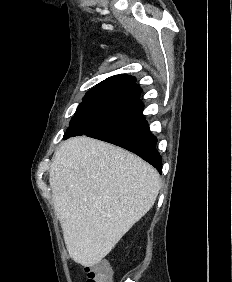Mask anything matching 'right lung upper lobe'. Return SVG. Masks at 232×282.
<instances>
[{
    "instance_id": "obj_1",
    "label": "right lung upper lobe",
    "mask_w": 232,
    "mask_h": 282,
    "mask_svg": "<svg viewBox=\"0 0 232 282\" xmlns=\"http://www.w3.org/2000/svg\"><path fill=\"white\" fill-rule=\"evenodd\" d=\"M136 79L133 76L126 74H119L111 76L102 81L87 93H99L107 91H136L141 93V88L135 83Z\"/></svg>"
}]
</instances>
